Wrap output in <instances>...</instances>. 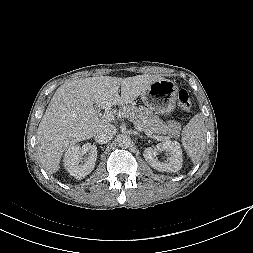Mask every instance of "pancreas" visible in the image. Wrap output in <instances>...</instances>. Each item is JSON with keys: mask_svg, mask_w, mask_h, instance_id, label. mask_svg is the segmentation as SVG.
Listing matches in <instances>:
<instances>
[{"mask_svg": "<svg viewBox=\"0 0 253 253\" xmlns=\"http://www.w3.org/2000/svg\"><path fill=\"white\" fill-rule=\"evenodd\" d=\"M119 115L134 122L135 125L141 127V130L151 131L155 136L164 134L171 138H177L180 135L181 125L178 122L169 121L166 124L157 115H154L150 109L145 107L126 105L122 107Z\"/></svg>", "mask_w": 253, "mask_h": 253, "instance_id": "1", "label": "pancreas"}]
</instances>
